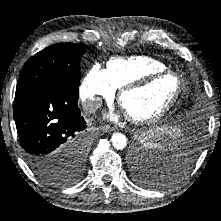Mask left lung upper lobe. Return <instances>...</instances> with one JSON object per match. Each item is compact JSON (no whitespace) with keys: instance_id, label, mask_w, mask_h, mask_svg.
I'll return each mask as SVG.
<instances>
[{"instance_id":"obj_1","label":"left lung upper lobe","mask_w":221,"mask_h":221,"mask_svg":"<svg viewBox=\"0 0 221 221\" xmlns=\"http://www.w3.org/2000/svg\"><path fill=\"white\" fill-rule=\"evenodd\" d=\"M144 162V161H143ZM135 179L142 185L148 186V178L152 175V172L148 166L144 163H137L134 171Z\"/></svg>"}]
</instances>
